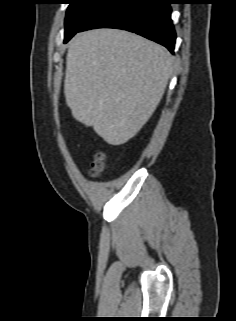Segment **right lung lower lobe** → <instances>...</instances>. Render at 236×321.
Listing matches in <instances>:
<instances>
[{"instance_id":"obj_1","label":"right lung lower lobe","mask_w":236,"mask_h":321,"mask_svg":"<svg viewBox=\"0 0 236 321\" xmlns=\"http://www.w3.org/2000/svg\"><path fill=\"white\" fill-rule=\"evenodd\" d=\"M94 28L128 30L174 53L176 34L169 0H108L77 32Z\"/></svg>"}]
</instances>
